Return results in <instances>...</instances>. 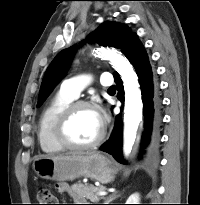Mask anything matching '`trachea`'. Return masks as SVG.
<instances>
[{
  "label": "trachea",
  "mask_w": 200,
  "mask_h": 205,
  "mask_svg": "<svg viewBox=\"0 0 200 205\" xmlns=\"http://www.w3.org/2000/svg\"><path fill=\"white\" fill-rule=\"evenodd\" d=\"M108 90H115V86H111V87H109Z\"/></svg>",
  "instance_id": "trachea-1"
}]
</instances>
